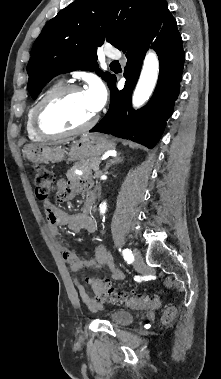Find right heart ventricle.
<instances>
[{"mask_svg":"<svg viewBox=\"0 0 221 379\" xmlns=\"http://www.w3.org/2000/svg\"><path fill=\"white\" fill-rule=\"evenodd\" d=\"M61 86L60 82H56L52 85H50L46 90L40 95V97L32 104V106L29 108L27 112V117H26V130L29 138L34 141H40L43 140L45 137L41 136L34 128L33 124V115L34 111L37 107V105L40 103V101L48 95L51 91L54 89L58 88Z\"/></svg>","mask_w":221,"mask_h":379,"instance_id":"obj_1","label":"right heart ventricle"}]
</instances>
